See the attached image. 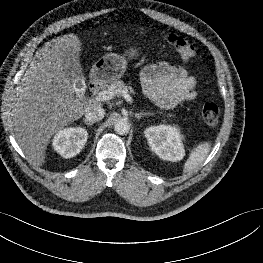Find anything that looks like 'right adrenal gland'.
Instances as JSON below:
<instances>
[{"instance_id":"2a0ac1e0","label":"right adrenal gland","mask_w":263,"mask_h":263,"mask_svg":"<svg viewBox=\"0 0 263 263\" xmlns=\"http://www.w3.org/2000/svg\"><path fill=\"white\" fill-rule=\"evenodd\" d=\"M84 123L88 126H92L93 125V122H89L87 121L86 119H83Z\"/></svg>"}]
</instances>
